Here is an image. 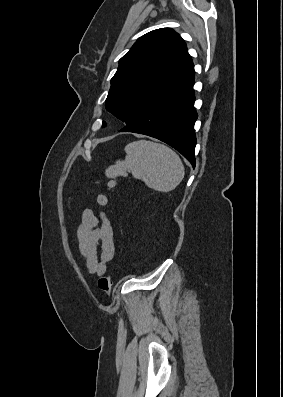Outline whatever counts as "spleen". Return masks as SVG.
<instances>
[{"label":"spleen","mask_w":283,"mask_h":397,"mask_svg":"<svg viewBox=\"0 0 283 397\" xmlns=\"http://www.w3.org/2000/svg\"><path fill=\"white\" fill-rule=\"evenodd\" d=\"M126 157L109 166L105 175L115 186L118 176L127 177L131 171L135 179L160 192L174 190L184 178V165L180 157L168 146L160 143L139 140L125 146Z\"/></svg>","instance_id":"3e777b00"}]
</instances>
